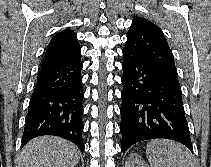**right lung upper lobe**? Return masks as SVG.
I'll return each mask as SVG.
<instances>
[{"mask_svg":"<svg viewBox=\"0 0 211 167\" xmlns=\"http://www.w3.org/2000/svg\"><path fill=\"white\" fill-rule=\"evenodd\" d=\"M81 55V47L71 29L53 36L48 44L41 68L69 61Z\"/></svg>","mask_w":211,"mask_h":167,"instance_id":"right-lung-upper-lobe-1","label":"right lung upper lobe"}]
</instances>
